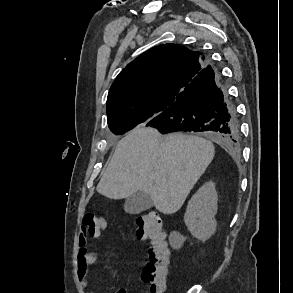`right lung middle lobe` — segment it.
<instances>
[{"mask_svg": "<svg viewBox=\"0 0 293 293\" xmlns=\"http://www.w3.org/2000/svg\"><path fill=\"white\" fill-rule=\"evenodd\" d=\"M155 110H137L108 118L110 130L116 135H122L136 125L149 121Z\"/></svg>", "mask_w": 293, "mask_h": 293, "instance_id": "obj_1", "label": "right lung middle lobe"}]
</instances>
